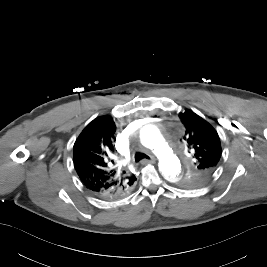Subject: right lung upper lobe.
Instances as JSON below:
<instances>
[{
    "label": "right lung upper lobe",
    "instance_id": "obj_1",
    "mask_svg": "<svg viewBox=\"0 0 267 267\" xmlns=\"http://www.w3.org/2000/svg\"><path fill=\"white\" fill-rule=\"evenodd\" d=\"M115 131L111 117H98L85 127L73 148L74 166L79 178L89 191L100 197L127 195L123 188L136 181L133 174H121L112 166Z\"/></svg>",
    "mask_w": 267,
    "mask_h": 267
}]
</instances>
